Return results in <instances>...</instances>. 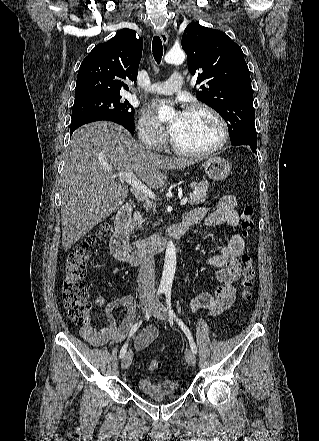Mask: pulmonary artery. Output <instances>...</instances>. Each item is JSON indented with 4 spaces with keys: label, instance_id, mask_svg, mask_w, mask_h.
Returning <instances> with one entry per match:
<instances>
[{
    "label": "pulmonary artery",
    "instance_id": "e3ab8cb5",
    "mask_svg": "<svg viewBox=\"0 0 319 441\" xmlns=\"http://www.w3.org/2000/svg\"><path fill=\"white\" fill-rule=\"evenodd\" d=\"M183 85V76L181 74H173L168 80L154 83L148 89L152 93L171 95L178 92Z\"/></svg>",
    "mask_w": 319,
    "mask_h": 441
}]
</instances>
